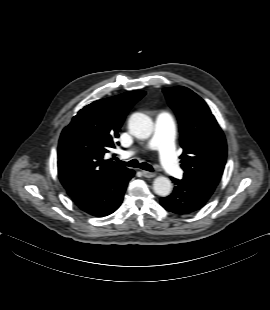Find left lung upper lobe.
<instances>
[{"instance_id": "left-lung-upper-lobe-1", "label": "left lung upper lobe", "mask_w": 270, "mask_h": 310, "mask_svg": "<svg viewBox=\"0 0 270 310\" xmlns=\"http://www.w3.org/2000/svg\"><path fill=\"white\" fill-rule=\"evenodd\" d=\"M180 125L184 176L219 183L227 156L223 131L203 99L186 87L163 89Z\"/></svg>"}]
</instances>
